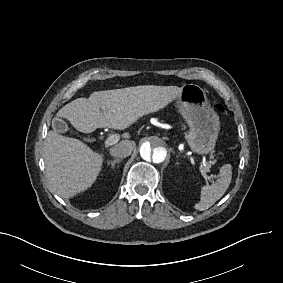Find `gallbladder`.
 Wrapping results in <instances>:
<instances>
[{
	"mask_svg": "<svg viewBox=\"0 0 283 283\" xmlns=\"http://www.w3.org/2000/svg\"><path fill=\"white\" fill-rule=\"evenodd\" d=\"M52 126L57 132L64 133L68 130L67 123L59 118H54L52 120Z\"/></svg>",
	"mask_w": 283,
	"mask_h": 283,
	"instance_id": "bac80fb5",
	"label": "gallbladder"
}]
</instances>
